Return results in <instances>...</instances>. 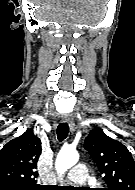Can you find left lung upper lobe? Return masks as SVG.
Returning a JSON list of instances; mask_svg holds the SVG:
<instances>
[{
	"instance_id": "5c2ea615",
	"label": "left lung upper lobe",
	"mask_w": 135,
	"mask_h": 190,
	"mask_svg": "<svg viewBox=\"0 0 135 190\" xmlns=\"http://www.w3.org/2000/svg\"><path fill=\"white\" fill-rule=\"evenodd\" d=\"M84 148L105 175L108 188L104 190H135V161L122 143L95 128L86 137Z\"/></svg>"
}]
</instances>
